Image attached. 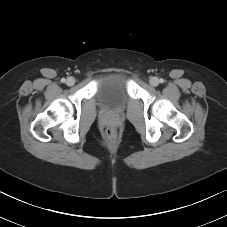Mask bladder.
Masks as SVG:
<instances>
[{"label":"bladder","instance_id":"31cf9c89","mask_svg":"<svg viewBox=\"0 0 227 227\" xmlns=\"http://www.w3.org/2000/svg\"><path fill=\"white\" fill-rule=\"evenodd\" d=\"M95 96L98 104L106 110L123 109L130 99L127 75L122 72L101 74L96 79Z\"/></svg>","mask_w":227,"mask_h":227}]
</instances>
